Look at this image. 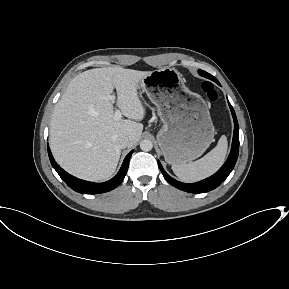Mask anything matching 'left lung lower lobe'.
<instances>
[{
    "label": "left lung lower lobe",
    "mask_w": 289,
    "mask_h": 289,
    "mask_svg": "<svg viewBox=\"0 0 289 289\" xmlns=\"http://www.w3.org/2000/svg\"><path fill=\"white\" fill-rule=\"evenodd\" d=\"M219 84V83H218ZM229 103V102H228ZM229 107L234 119V133H233V141H232V147L231 152L229 154V157L227 161L224 163V165L211 177L204 179L202 181L187 184L179 182L173 178H171L163 169L160 162H158L159 168L163 174V176L166 178V180L171 183L173 186L177 187L180 190L190 192V193H204L211 191L218 187L231 173L233 170L235 163L238 158L239 153V126L237 122V118L235 115V111L231 104L229 103Z\"/></svg>",
    "instance_id": "0a47b994"
}]
</instances>
